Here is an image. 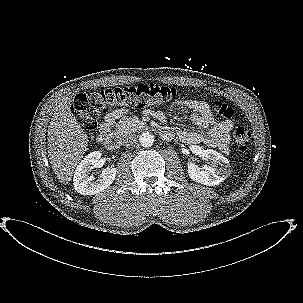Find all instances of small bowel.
<instances>
[{
  "instance_id": "1",
  "label": "small bowel",
  "mask_w": 303,
  "mask_h": 303,
  "mask_svg": "<svg viewBox=\"0 0 303 303\" xmlns=\"http://www.w3.org/2000/svg\"><path fill=\"white\" fill-rule=\"evenodd\" d=\"M181 107H187L192 111V121L200 128L208 129L206 133L188 130H179L177 137L180 141L188 144L203 143L209 147L218 148L223 153L229 151V133L234 123L231 120L218 122L214 117L208 103L200 100H179L174 102L169 113H173ZM128 112L127 108L112 109L100 125L99 132L101 136L107 134L113 126L115 120ZM146 114L152 115L160 122H165L166 116L160 111H146ZM165 133L168 137L172 136V132L167 130Z\"/></svg>"
}]
</instances>
